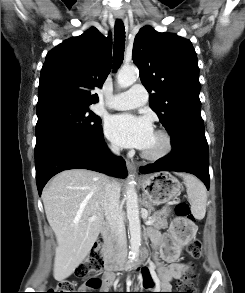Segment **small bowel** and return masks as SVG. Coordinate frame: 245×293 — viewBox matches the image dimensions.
I'll use <instances>...</instances> for the list:
<instances>
[{
    "label": "small bowel",
    "instance_id": "small-bowel-1",
    "mask_svg": "<svg viewBox=\"0 0 245 293\" xmlns=\"http://www.w3.org/2000/svg\"><path fill=\"white\" fill-rule=\"evenodd\" d=\"M148 237L151 241L153 249V263L140 269L141 283L144 288L152 287V280L155 277V271L159 275V286L163 291H169L172 287V282L180 278L184 271L185 265L176 262L180 253L181 246L186 242L185 239H176L170 232L163 234L156 231H149ZM169 262L164 265L160 260ZM131 281L128 279L127 284ZM115 284V276L113 273H108L104 277L102 288L108 290ZM168 293V292H164Z\"/></svg>",
    "mask_w": 245,
    "mask_h": 293
}]
</instances>
